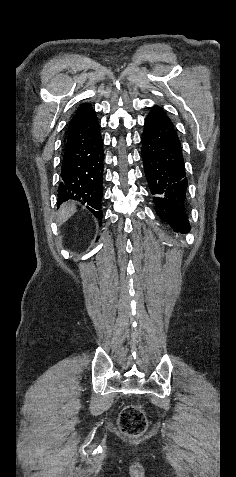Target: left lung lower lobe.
Here are the masks:
<instances>
[{"label":"left lung lower lobe","instance_id":"left-lung-lower-lobe-1","mask_svg":"<svg viewBox=\"0 0 236 477\" xmlns=\"http://www.w3.org/2000/svg\"><path fill=\"white\" fill-rule=\"evenodd\" d=\"M142 158L157 213L174 229L187 228V178L182 147L172 122L159 106L152 108L145 121Z\"/></svg>","mask_w":236,"mask_h":477}]
</instances>
